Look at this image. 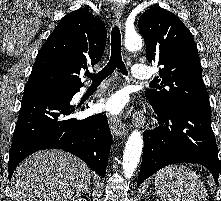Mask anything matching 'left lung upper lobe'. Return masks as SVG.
<instances>
[{
	"label": "left lung upper lobe",
	"mask_w": 221,
	"mask_h": 201,
	"mask_svg": "<svg viewBox=\"0 0 221 201\" xmlns=\"http://www.w3.org/2000/svg\"><path fill=\"white\" fill-rule=\"evenodd\" d=\"M138 27L146 43L149 63L163 66L158 81L165 88L146 91L148 101L163 110L210 106L197 46L183 22L163 8L153 7L142 14Z\"/></svg>",
	"instance_id": "obj_1"
}]
</instances>
